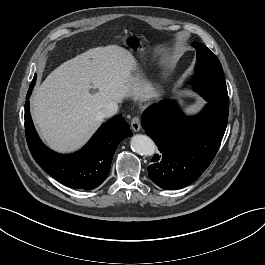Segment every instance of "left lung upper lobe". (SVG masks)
I'll return each mask as SVG.
<instances>
[{
	"instance_id": "1",
	"label": "left lung upper lobe",
	"mask_w": 265,
	"mask_h": 265,
	"mask_svg": "<svg viewBox=\"0 0 265 265\" xmlns=\"http://www.w3.org/2000/svg\"><path fill=\"white\" fill-rule=\"evenodd\" d=\"M197 51V65L194 76L195 89L216 107L228 111L229 99L222 66L206 46L192 43Z\"/></svg>"
}]
</instances>
